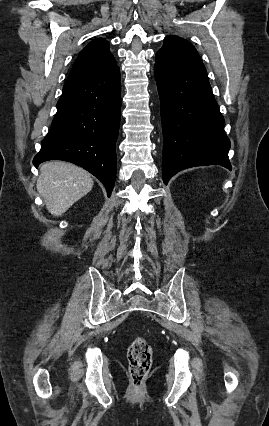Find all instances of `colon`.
I'll return each mask as SVG.
<instances>
[{"instance_id":"5ec220e1","label":"colon","mask_w":269,"mask_h":426,"mask_svg":"<svg viewBox=\"0 0 269 426\" xmlns=\"http://www.w3.org/2000/svg\"><path fill=\"white\" fill-rule=\"evenodd\" d=\"M129 373L135 387H140L152 367V348L143 337H137L128 350Z\"/></svg>"}]
</instances>
